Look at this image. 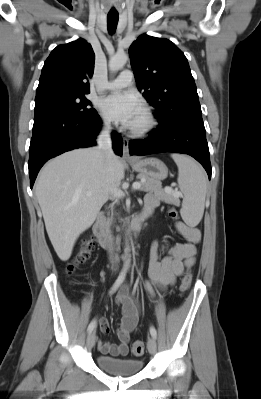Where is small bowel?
<instances>
[{
  "label": "small bowel",
  "mask_w": 261,
  "mask_h": 399,
  "mask_svg": "<svg viewBox=\"0 0 261 399\" xmlns=\"http://www.w3.org/2000/svg\"><path fill=\"white\" fill-rule=\"evenodd\" d=\"M159 204L158 197L153 193L145 196L144 209L153 211ZM175 226L179 234L186 239L185 243L168 246L156 240L151 246L149 273L145 282L151 296L154 295V287L164 288L172 285L175 278L195 262L197 244L201 241L199 229L182 222H177ZM116 302L122 307V318L117 326L119 344L99 341L98 348L105 355L125 356L129 350L131 332L139 320L140 306L136 298L130 295L127 285L118 292ZM99 326L103 334L110 333V325L106 318L100 319Z\"/></svg>",
  "instance_id": "obj_1"
}]
</instances>
